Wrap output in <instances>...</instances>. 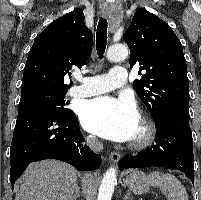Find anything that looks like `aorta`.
<instances>
[{
	"instance_id": "aorta-1",
	"label": "aorta",
	"mask_w": 201,
	"mask_h": 200,
	"mask_svg": "<svg viewBox=\"0 0 201 200\" xmlns=\"http://www.w3.org/2000/svg\"><path fill=\"white\" fill-rule=\"evenodd\" d=\"M127 56L128 48L123 44L112 45L107 51V59L112 62L122 61L126 59ZM116 181V168L110 167L106 171L100 184L97 200H111Z\"/></svg>"
}]
</instances>
